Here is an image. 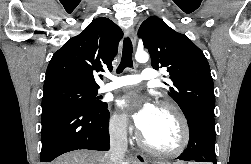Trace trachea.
<instances>
[{"instance_id": "3493384b", "label": "trachea", "mask_w": 251, "mask_h": 164, "mask_svg": "<svg viewBox=\"0 0 251 164\" xmlns=\"http://www.w3.org/2000/svg\"><path fill=\"white\" fill-rule=\"evenodd\" d=\"M132 66V42L130 38L126 37L123 42L122 59L120 65L117 68V73H121L125 68Z\"/></svg>"}]
</instances>
